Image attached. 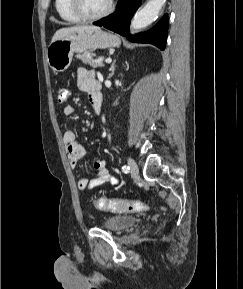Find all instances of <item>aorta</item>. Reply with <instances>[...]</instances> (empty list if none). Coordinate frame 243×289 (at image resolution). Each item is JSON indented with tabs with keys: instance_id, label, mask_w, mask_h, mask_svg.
<instances>
[{
	"instance_id": "aorta-1",
	"label": "aorta",
	"mask_w": 243,
	"mask_h": 289,
	"mask_svg": "<svg viewBox=\"0 0 243 289\" xmlns=\"http://www.w3.org/2000/svg\"><path fill=\"white\" fill-rule=\"evenodd\" d=\"M165 2L166 0H149L147 4L135 14L131 22V30L138 31L155 21Z\"/></svg>"
}]
</instances>
